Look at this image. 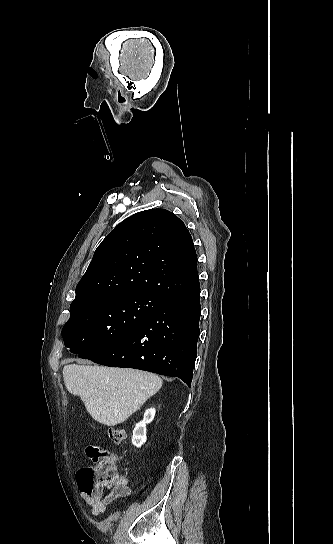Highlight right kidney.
Masks as SVG:
<instances>
[{
  "label": "right kidney",
  "instance_id": "1",
  "mask_svg": "<svg viewBox=\"0 0 333 544\" xmlns=\"http://www.w3.org/2000/svg\"><path fill=\"white\" fill-rule=\"evenodd\" d=\"M155 413V408L147 409L144 413L143 420L136 424L133 430L132 444L137 448H140L146 442V424L153 421Z\"/></svg>",
  "mask_w": 333,
  "mask_h": 544
}]
</instances>
